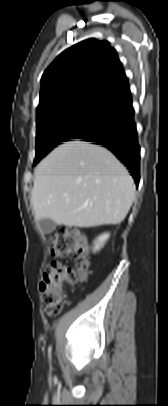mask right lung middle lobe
<instances>
[{"label": "right lung middle lobe", "mask_w": 168, "mask_h": 406, "mask_svg": "<svg viewBox=\"0 0 168 406\" xmlns=\"http://www.w3.org/2000/svg\"><path fill=\"white\" fill-rule=\"evenodd\" d=\"M109 116L107 102H77L37 120L34 165L61 142L77 139L99 126Z\"/></svg>", "instance_id": "obj_1"}]
</instances>
